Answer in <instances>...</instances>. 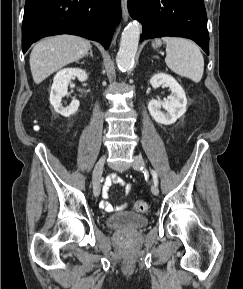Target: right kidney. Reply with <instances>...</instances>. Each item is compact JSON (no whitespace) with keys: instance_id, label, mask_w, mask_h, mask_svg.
<instances>
[{"instance_id":"obj_1","label":"right kidney","mask_w":243,"mask_h":289,"mask_svg":"<svg viewBox=\"0 0 243 289\" xmlns=\"http://www.w3.org/2000/svg\"><path fill=\"white\" fill-rule=\"evenodd\" d=\"M77 77L79 81L84 82L87 80V73L79 68H65L59 71L53 80L50 92V103L55 111L64 117H69L78 110L79 101L73 99L69 106L62 105V98L68 96V84L72 78Z\"/></svg>"}]
</instances>
